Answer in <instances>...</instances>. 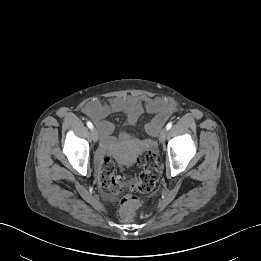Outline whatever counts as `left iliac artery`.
Here are the masks:
<instances>
[{
  "instance_id": "left-iliac-artery-1",
  "label": "left iliac artery",
  "mask_w": 261,
  "mask_h": 261,
  "mask_svg": "<svg viewBox=\"0 0 261 261\" xmlns=\"http://www.w3.org/2000/svg\"><path fill=\"white\" fill-rule=\"evenodd\" d=\"M171 127H172V122H169V123L166 125V129H167V130H170Z\"/></svg>"
}]
</instances>
